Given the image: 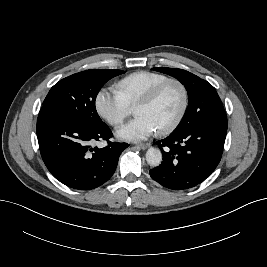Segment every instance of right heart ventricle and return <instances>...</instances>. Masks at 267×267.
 Here are the masks:
<instances>
[{
  "label": "right heart ventricle",
  "mask_w": 267,
  "mask_h": 267,
  "mask_svg": "<svg viewBox=\"0 0 267 267\" xmlns=\"http://www.w3.org/2000/svg\"><path fill=\"white\" fill-rule=\"evenodd\" d=\"M166 79L168 76L161 73L136 71L116 83V92L134 107L154 86Z\"/></svg>",
  "instance_id": "right-heart-ventricle-1"
}]
</instances>
